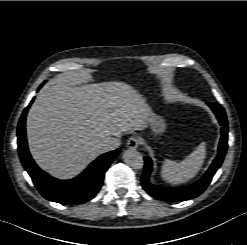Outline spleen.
Segmentation results:
<instances>
[{
    "instance_id": "3e777b00",
    "label": "spleen",
    "mask_w": 247,
    "mask_h": 245,
    "mask_svg": "<svg viewBox=\"0 0 247 245\" xmlns=\"http://www.w3.org/2000/svg\"><path fill=\"white\" fill-rule=\"evenodd\" d=\"M206 158V143L202 142L195 151L180 163L165 160L161 175L171 185H180L194 178L201 170Z\"/></svg>"
}]
</instances>
